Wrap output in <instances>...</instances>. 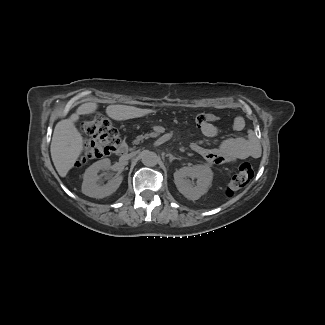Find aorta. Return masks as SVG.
Instances as JSON below:
<instances>
[{
    "mask_svg": "<svg viewBox=\"0 0 325 325\" xmlns=\"http://www.w3.org/2000/svg\"><path fill=\"white\" fill-rule=\"evenodd\" d=\"M159 157L155 152L144 150L141 153V161L145 166L153 167L158 163Z\"/></svg>",
    "mask_w": 325,
    "mask_h": 325,
    "instance_id": "762f6f07",
    "label": "aorta"
}]
</instances>
